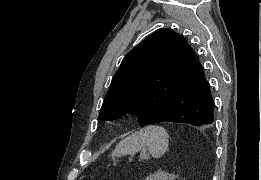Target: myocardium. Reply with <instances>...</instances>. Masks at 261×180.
Instances as JSON below:
<instances>
[{
    "label": "myocardium",
    "instance_id": "f54148a6",
    "mask_svg": "<svg viewBox=\"0 0 261 180\" xmlns=\"http://www.w3.org/2000/svg\"><path fill=\"white\" fill-rule=\"evenodd\" d=\"M125 115H126L125 113L118 114V119L119 120L123 119L125 117Z\"/></svg>",
    "mask_w": 261,
    "mask_h": 180
}]
</instances>
